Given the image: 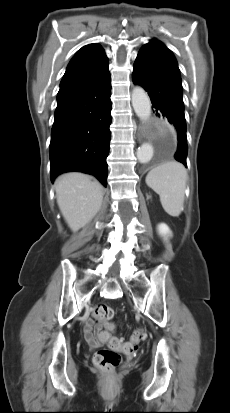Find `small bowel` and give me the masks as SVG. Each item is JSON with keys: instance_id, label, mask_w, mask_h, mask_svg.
<instances>
[{"instance_id": "obj_1", "label": "small bowel", "mask_w": 230, "mask_h": 413, "mask_svg": "<svg viewBox=\"0 0 230 413\" xmlns=\"http://www.w3.org/2000/svg\"><path fill=\"white\" fill-rule=\"evenodd\" d=\"M113 328L114 325L111 323L101 326L95 324L92 319H88L84 327V335L93 346H98L109 342Z\"/></svg>"}]
</instances>
